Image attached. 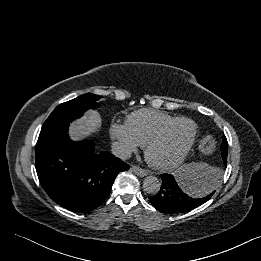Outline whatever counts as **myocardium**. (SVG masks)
Here are the masks:
<instances>
[{
  "instance_id": "obj_1",
  "label": "myocardium",
  "mask_w": 261,
  "mask_h": 261,
  "mask_svg": "<svg viewBox=\"0 0 261 261\" xmlns=\"http://www.w3.org/2000/svg\"><path fill=\"white\" fill-rule=\"evenodd\" d=\"M183 121L189 122L193 127V131L187 145L184 147L181 153L171 161L159 162L155 160L152 157V149L164 138V136L172 127ZM197 131L198 129L196 123L192 119L187 117H179L167 123L162 128H160L144 145V155L146 161L152 168L160 171H167L177 167L186 159V157L190 153L197 137Z\"/></svg>"
}]
</instances>
